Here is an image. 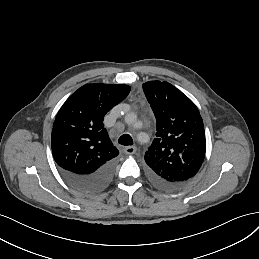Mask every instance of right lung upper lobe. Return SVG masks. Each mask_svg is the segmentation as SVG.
Here are the masks:
<instances>
[{"mask_svg":"<svg viewBox=\"0 0 259 259\" xmlns=\"http://www.w3.org/2000/svg\"><path fill=\"white\" fill-rule=\"evenodd\" d=\"M130 92L124 84H86L63 104L53 124L51 148L64 170L88 174L113 160L119 151L104 128V116Z\"/></svg>","mask_w":259,"mask_h":259,"instance_id":"obj_1","label":"right lung upper lobe"}]
</instances>
